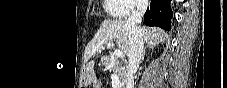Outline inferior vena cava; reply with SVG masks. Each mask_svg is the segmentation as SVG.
I'll use <instances>...</instances> for the list:
<instances>
[{"instance_id": "602c4592", "label": "inferior vena cava", "mask_w": 227, "mask_h": 88, "mask_svg": "<svg viewBox=\"0 0 227 88\" xmlns=\"http://www.w3.org/2000/svg\"><path fill=\"white\" fill-rule=\"evenodd\" d=\"M148 7V0H140L136 5V11L132 12L126 21L128 29V72L126 77V88H134V74L137 72L143 56V37L139 24L142 22L145 11Z\"/></svg>"}]
</instances>
